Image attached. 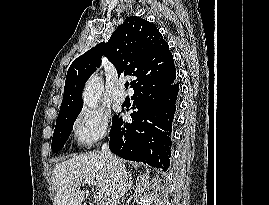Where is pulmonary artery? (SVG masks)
Segmentation results:
<instances>
[{
	"label": "pulmonary artery",
	"mask_w": 269,
	"mask_h": 205,
	"mask_svg": "<svg viewBox=\"0 0 269 205\" xmlns=\"http://www.w3.org/2000/svg\"><path fill=\"white\" fill-rule=\"evenodd\" d=\"M113 99L116 103H123L125 101L124 87L122 83H118L113 95Z\"/></svg>",
	"instance_id": "obj_1"
}]
</instances>
